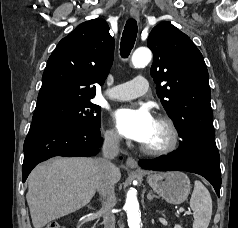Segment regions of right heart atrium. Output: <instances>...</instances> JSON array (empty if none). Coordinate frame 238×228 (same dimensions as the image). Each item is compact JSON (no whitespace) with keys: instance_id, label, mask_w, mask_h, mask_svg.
I'll return each mask as SVG.
<instances>
[{"instance_id":"obj_1","label":"right heart atrium","mask_w":238,"mask_h":228,"mask_svg":"<svg viewBox=\"0 0 238 228\" xmlns=\"http://www.w3.org/2000/svg\"><path fill=\"white\" fill-rule=\"evenodd\" d=\"M105 140L111 145L119 144L120 137L115 129H108L104 134Z\"/></svg>"}]
</instances>
